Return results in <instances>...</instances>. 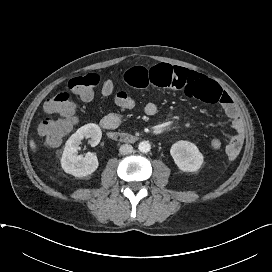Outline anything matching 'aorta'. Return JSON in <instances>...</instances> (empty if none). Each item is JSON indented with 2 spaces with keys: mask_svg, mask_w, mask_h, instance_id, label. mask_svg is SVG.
<instances>
[{
  "mask_svg": "<svg viewBox=\"0 0 272 272\" xmlns=\"http://www.w3.org/2000/svg\"><path fill=\"white\" fill-rule=\"evenodd\" d=\"M138 149L142 153H147L151 149L150 143L147 142V141H142V142L139 143Z\"/></svg>",
  "mask_w": 272,
  "mask_h": 272,
  "instance_id": "obj_1",
  "label": "aorta"
}]
</instances>
